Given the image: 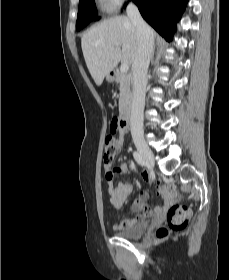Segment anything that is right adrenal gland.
<instances>
[{
	"instance_id": "1",
	"label": "right adrenal gland",
	"mask_w": 229,
	"mask_h": 280,
	"mask_svg": "<svg viewBox=\"0 0 229 280\" xmlns=\"http://www.w3.org/2000/svg\"><path fill=\"white\" fill-rule=\"evenodd\" d=\"M154 51H155V47L153 49V53H152V56H151V61L153 60V57H154Z\"/></svg>"
}]
</instances>
